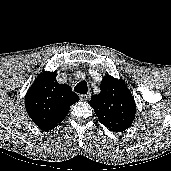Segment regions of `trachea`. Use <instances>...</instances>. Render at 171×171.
<instances>
[{
    "label": "trachea",
    "mask_w": 171,
    "mask_h": 171,
    "mask_svg": "<svg viewBox=\"0 0 171 171\" xmlns=\"http://www.w3.org/2000/svg\"><path fill=\"white\" fill-rule=\"evenodd\" d=\"M74 91L80 94H87L88 92V86L86 81L79 82L75 87Z\"/></svg>",
    "instance_id": "obj_1"
}]
</instances>
